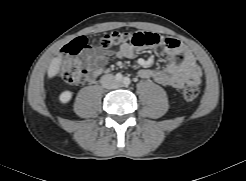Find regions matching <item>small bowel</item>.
Segmentation results:
<instances>
[{
  "mask_svg": "<svg viewBox=\"0 0 246 181\" xmlns=\"http://www.w3.org/2000/svg\"><path fill=\"white\" fill-rule=\"evenodd\" d=\"M137 49L129 43L121 45L117 51L98 46H87L82 57L90 67L91 78H96L107 71L109 57L133 58ZM168 63L162 68H143L138 74L141 78L172 88H182L186 83H199L202 71L190 49L175 38L168 37L164 45Z\"/></svg>",
  "mask_w": 246,
  "mask_h": 181,
  "instance_id": "obj_1",
  "label": "small bowel"
}]
</instances>
